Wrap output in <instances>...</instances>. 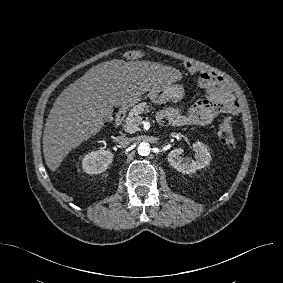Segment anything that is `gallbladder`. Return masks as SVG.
<instances>
[{
    "instance_id": "gallbladder-1",
    "label": "gallbladder",
    "mask_w": 283,
    "mask_h": 283,
    "mask_svg": "<svg viewBox=\"0 0 283 283\" xmlns=\"http://www.w3.org/2000/svg\"><path fill=\"white\" fill-rule=\"evenodd\" d=\"M111 116H112V111L109 110L108 108H106L105 117H106L107 119H109Z\"/></svg>"
}]
</instances>
